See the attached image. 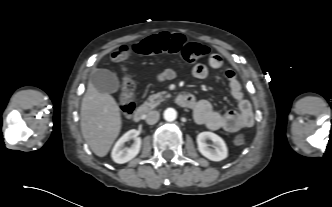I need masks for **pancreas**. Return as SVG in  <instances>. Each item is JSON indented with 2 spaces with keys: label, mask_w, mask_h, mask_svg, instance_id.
Returning <instances> with one entry per match:
<instances>
[{
  "label": "pancreas",
  "mask_w": 332,
  "mask_h": 207,
  "mask_svg": "<svg viewBox=\"0 0 332 207\" xmlns=\"http://www.w3.org/2000/svg\"><path fill=\"white\" fill-rule=\"evenodd\" d=\"M171 97L170 94L166 92H159L153 95H150L148 99L144 102V106L148 107L149 109H153L157 107L162 101L166 98Z\"/></svg>",
  "instance_id": "pancreas-1"
}]
</instances>
